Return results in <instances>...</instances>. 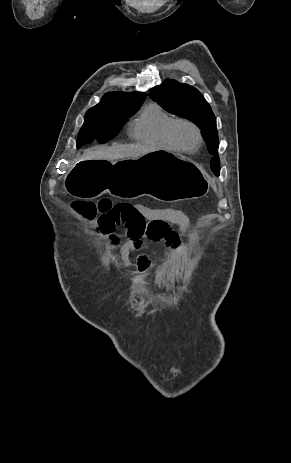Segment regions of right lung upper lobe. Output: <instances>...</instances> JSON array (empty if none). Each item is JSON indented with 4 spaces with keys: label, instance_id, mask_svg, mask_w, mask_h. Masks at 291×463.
Wrapping results in <instances>:
<instances>
[{
    "label": "right lung upper lobe",
    "instance_id": "1",
    "mask_svg": "<svg viewBox=\"0 0 291 463\" xmlns=\"http://www.w3.org/2000/svg\"><path fill=\"white\" fill-rule=\"evenodd\" d=\"M146 94L140 92L124 93V92H111L106 93L101 102L91 109L96 108H113L123 109L130 107L134 104L142 103Z\"/></svg>",
    "mask_w": 291,
    "mask_h": 463
}]
</instances>
